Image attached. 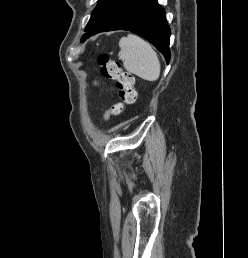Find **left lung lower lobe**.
I'll return each mask as SVG.
<instances>
[{"label":"left lung lower lobe","mask_w":248,"mask_h":258,"mask_svg":"<svg viewBox=\"0 0 248 258\" xmlns=\"http://www.w3.org/2000/svg\"><path fill=\"white\" fill-rule=\"evenodd\" d=\"M127 30L136 33L154 45L170 60V28L165 10L157 0H128L103 22L86 32L82 41L99 32Z\"/></svg>","instance_id":"obj_1"}]
</instances>
